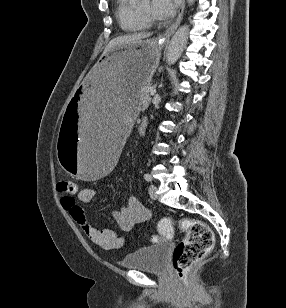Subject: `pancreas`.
<instances>
[{
	"instance_id": "cf45deb5",
	"label": "pancreas",
	"mask_w": 286,
	"mask_h": 308,
	"mask_svg": "<svg viewBox=\"0 0 286 308\" xmlns=\"http://www.w3.org/2000/svg\"><path fill=\"white\" fill-rule=\"evenodd\" d=\"M150 83L148 82L144 86L141 87L139 97L141 100V104L144 106H148L150 104L151 98H150Z\"/></svg>"
}]
</instances>
